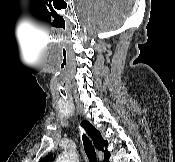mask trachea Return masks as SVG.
<instances>
[{"label": "trachea", "instance_id": "1", "mask_svg": "<svg viewBox=\"0 0 175 162\" xmlns=\"http://www.w3.org/2000/svg\"><path fill=\"white\" fill-rule=\"evenodd\" d=\"M82 140H83L84 150L89 161L97 162L96 152L89 138L85 134H83Z\"/></svg>", "mask_w": 175, "mask_h": 162}]
</instances>
